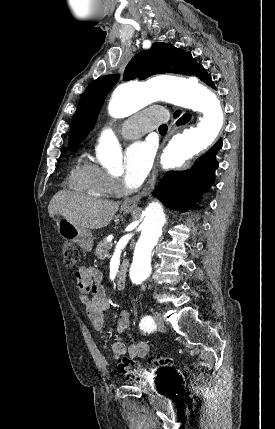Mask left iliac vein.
Here are the masks:
<instances>
[{
  "label": "left iliac vein",
  "mask_w": 275,
  "mask_h": 429,
  "mask_svg": "<svg viewBox=\"0 0 275 429\" xmlns=\"http://www.w3.org/2000/svg\"><path fill=\"white\" fill-rule=\"evenodd\" d=\"M153 317H154V320H155V323H156L158 330L164 331L166 328V325H165V321H164L163 316L159 312H155L153 314Z\"/></svg>",
  "instance_id": "4c4485c4"
}]
</instances>
